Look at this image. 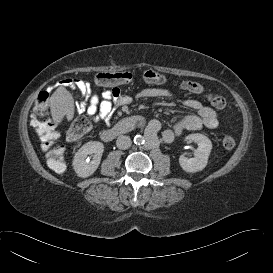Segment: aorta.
Wrapping results in <instances>:
<instances>
[{"instance_id": "1", "label": "aorta", "mask_w": 273, "mask_h": 273, "mask_svg": "<svg viewBox=\"0 0 273 273\" xmlns=\"http://www.w3.org/2000/svg\"><path fill=\"white\" fill-rule=\"evenodd\" d=\"M144 137L141 136V135H136L134 137V143L137 144V145H141V144H144Z\"/></svg>"}]
</instances>
